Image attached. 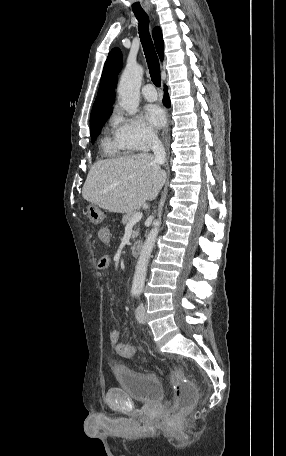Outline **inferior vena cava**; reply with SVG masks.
<instances>
[{"label":"inferior vena cava","mask_w":286,"mask_h":456,"mask_svg":"<svg viewBox=\"0 0 286 456\" xmlns=\"http://www.w3.org/2000/svg\"><path fill=\"white\" fill-rule=\"evenodd\" d=\"M150 141L151 149L154 152L156 161L160 164L164 163L166 160V153L161 140L155 133H151Z\"/></svg>","instance_id":"obj_1"}]
</instances>
